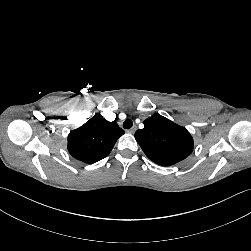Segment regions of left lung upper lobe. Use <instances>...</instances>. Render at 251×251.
I'll return each instance as SVG.
<instances>
[{
    "mask_svg": "<svg viewBox=\"0 0 251 251\" xmlns=\"http://www.w3.org/2000/svg\"><path fill=\"white\" fill-rule=\"evenodd\" d=\"M135 138L146 156L158 165L170 166L188 157L194 146L186 128L154 114L144 121Z\"/></svg>",
    "mask_w": 251,
    "mask_h": 251,
    "instance_id": "obj_1",
    "label": "left lung upper lobe"
}]
</instances>
